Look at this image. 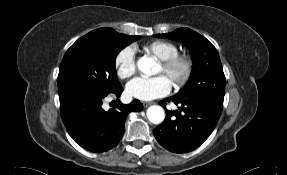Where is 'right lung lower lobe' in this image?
<instances>
[{"label":"right lung lower lobe","instance_id":"obj_1","mask_svg":"<svg viewBox=\"0 0 287 175\" xmlns=\"http://www.w3.org/2000/svg\"><path fill=\"white\" fill-rule=\"evenodd\" d=\"M122 91L123 87L111 95L119 97ZM107 95L72 92L60 97L61 117L68 133L78 145L92 152L114 148L123 136L127 114L143 109V105L134 100L105 111L102 103Z\"/></svg>","mask_w":287,"mask_h":175}]
</instances>
